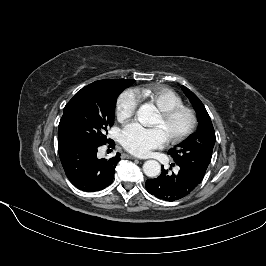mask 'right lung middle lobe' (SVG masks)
Returning a JSON list of instances; mask_svg holds the SVG:
<instances>
[{
    "mask_svg": "<svg viewBox=\"0 0 266 266\" xmlns=\"http://www.w3.org/2000/svg\"><path fill=\"white\" fill-rule=\"evenodd\" d=\"M133 82L108 79L79 90L64 107L58 127V145L107 142V129L114 124L116 99Z\"/></svg>",
    "mask_w": 266,
    "mask_h": 266,
    "instance_id": "obj_1",
    "label": "right lung middle lobe"
}]
</instances>
